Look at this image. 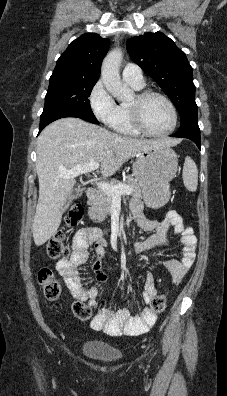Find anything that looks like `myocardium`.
<instances>
[{
  "instance_id": "myocardium-1",
  "label": "myocardium",
  "mask_w": 227,
  "mask_h": 396,
  "mask_svg": "<svg viewBox=\"0 0 227 396\" xmlns=\"http://www.w3.org/2000/svg\"><path fill=\"white\" fill-rule=\"evenodd\" d=\"M150 96H158L161 99H163L165 101V103L168 105L171 114H172V125L171 127L164 131V132H153L149 129L146 128V126L143 123L142 117H141V110H140V106L141 103L147 99ZM128 108H129V113H130V118H131V122L133 124V126L142 134L150 136V137H165L168 136L170 134H172L178 124V112L177 109L174 105V103L172 102V100L164 93L157 91V90H151V89H146V90H142L139 91L136 95H135V102L134 103H129L128 104Z\"/></svg>"
}]
</instances>
